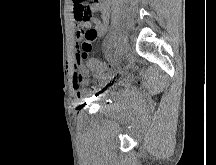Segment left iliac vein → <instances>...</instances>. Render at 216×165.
<instances>
[{"label": "left iliac vein", "mask_w": 216, "mask_h": 165, "mask_svg": "<svg viewBox=\"0 0 216 165\" xmlns=\"http://www.w3.org/2000/svg\"><path fill=\"white\" fill-rule=\"evenodd\" d=\"M128 44H129V37H128V33L126 31H122L119 36H118V40H117V44H116V48L114 50V53L112 55L111 60L113 62L117 61L118 59H120V57L125 53V51L128 48Z\"/></svg>", "instance_id": "left-iliac-vein-1"}]
</instances>
